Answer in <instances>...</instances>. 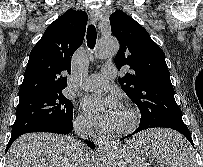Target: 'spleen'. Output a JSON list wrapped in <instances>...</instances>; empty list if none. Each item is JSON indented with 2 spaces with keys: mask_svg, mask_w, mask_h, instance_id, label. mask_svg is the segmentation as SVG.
Returning a JSON list of instances; mask_svg holds the SVG:
<instances>
[{
  "mask_svg": "<svg viewBox=\"0 0 203 167\" xmlns=\"http://www.w3.org/2000/svg\"><path fill=\"white\" fill-rule=\"evenodd\" d=\"M147 146L140 148V153L150 156L170 167H196L189 144L182 136L168 131H157L146 140Z\"/></svg>",
  "mask_w": 203,
  "mask_h": 167,
  "instance_id": "spleen-1",
  "label": "spleen"
}]
</instances>
